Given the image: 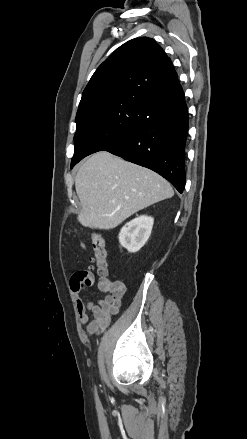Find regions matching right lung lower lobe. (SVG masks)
<instances>
[{
    "instance_id": "right-lung-lower-lobe-1",
    "label": "right lung lower lobe",
    "mask_w": 247,
    "mask_h": 439,
    "mask_svg": "<svg viewBox=\"0 0 247 439\" xmlns=\"http://www.w3.org/2000/svg\"><path fill=\"white\" fill-rule=\"evenodd\" d=\"M187 130L183 93L155 106L136 129L106 151L157 172L182 193Z\"/></svg>"
}]
</instances>
